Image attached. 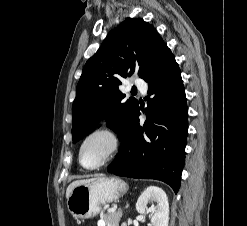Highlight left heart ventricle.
Here are the masks:
<instances>
[{
  "instance_id": "1",
  "label": "left heart ventricle",
  "mask_w": 247,
  "mask_h": 226,
  "mask_svg": "<svg viewBox=\"0 0 247 226\" xmlns=\"http://www.w3.org/2000/svg\"><path fill=\"white\" fill-rule=\"evenodd\" d=\"M111 142L104 135H97L87 141L84 146L82 159L87 166H93L102 161L108 154Z\"/></svg>"
}]
</instances>
